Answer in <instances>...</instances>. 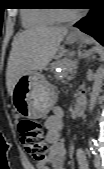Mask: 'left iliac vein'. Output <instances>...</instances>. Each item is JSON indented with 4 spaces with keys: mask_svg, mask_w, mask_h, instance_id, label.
<instances>
[{
    "mask_svg": "<svg viewBox=\"0 0 104 169\" xmlns=\"http://www.w3.org/2000/svg\"><path fill=\"white\" fill-rule=\"evenodd\" d=\"M94 166L96 169H102V160L99 155H96L94 158Z\"/></svg>",
    "mask_w": 104,
    "mask_h": 169,
    "instance_id": "left-iliac-vein-1",
    "label": "left iliac vein"
}]
</instances>
